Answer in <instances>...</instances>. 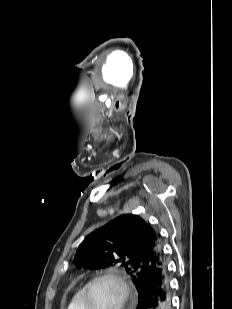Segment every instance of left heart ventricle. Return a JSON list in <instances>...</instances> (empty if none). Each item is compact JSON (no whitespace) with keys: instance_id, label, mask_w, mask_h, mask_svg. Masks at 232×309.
I'll use <instances>...</instances> for the list:
<instances>
[{"instance_id":"1","label":"left heart ventricle","mask_w":232,"mask_h":309,"mask_svg":"<svg viewBox=\"0 0 232 309\" xmlns=\"http://www.w3.org/2000/svg\"><path fill=\"white\" fill-rule=\"evenodd\" d=\"M120 300L121 290L111 280H99L90 289L89 301L92 309H117Z\"/></svg>"}]
</instances>
